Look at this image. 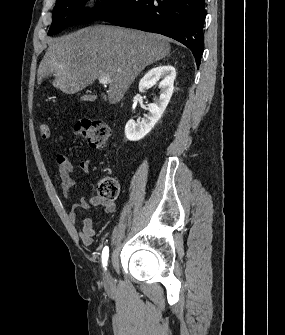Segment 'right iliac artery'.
Masks as SVG:
<instances>
[{
  "instance_id": "1",
  "label": "right iliac artery",
  "mask_w": 285,
  "mask_h": 335,
  "mask_svg": "<svg viewBox=\"0 0 285 335\" xmlns=\"http://www.w3.org/2000/svg\"><path fill=\"white\" fill-rule=\"evenodd\" d=\"M108 257H109V248L108 246H106L104 247L102 251V264H103V267H105V269L107 266Z\"/></svg>"
}]
</instances>
